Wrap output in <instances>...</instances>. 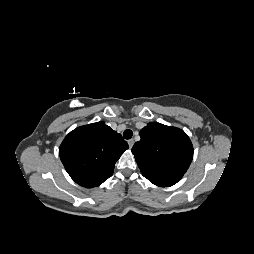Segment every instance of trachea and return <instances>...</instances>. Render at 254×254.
<instances>
[{
	"label": "trachea",
	"mask_w": 254,
	"mask_h": 254,
	"mask_svg": "<svg viewBox=\"0 0 254 254\" xmlns=\"http://www.w3.org/2000/svg\"><path fill=\"white\" fill-rule=\"evenodd\" d=\"M133 135V132L130 129H127L123 132V137L125 139H130Z\"/></svg>",
	"instance_id": "1"
}]
</instances>
